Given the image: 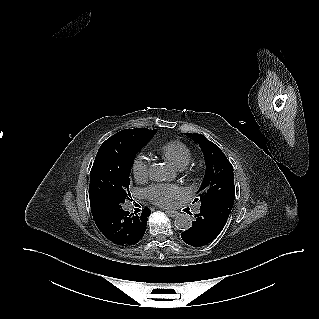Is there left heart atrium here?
Segmentation results:
<instances>
[{"instance_id": "left-heart-atrium-1", "label": "left heart atrium", "mask_w": 319, "mask_h": 319, "mask_svg": "<svg viewBox=\"0 0 319 319\" xmlns=\"http://www.w3.org/2000/svg\"><path fill=\"white\" fill-rule=\"evenodd\" d=\"M145 194L153 203L159 206H169L181 194V190L173 184H156L148 187Z\"/></svg>"}]
</instances>
